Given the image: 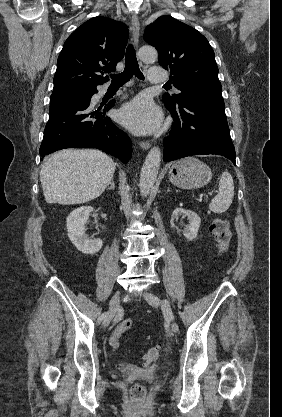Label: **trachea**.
I'll return each instance as SVG.
<instances>
[{
	"label": "trachea",
	"mask_w": 282,
	"mask_h": 417,
	"mask_svg": "<svg viewBox=\"0 0 282 417\" xmlns=\"http://www.w3.org/2000/svg\"><path fill=\"white\" fill-rule=\"evenodd\" d=\"M133 75L138 77L140 80H144V75L141 73L139 65L137 63L135 49L133 45H128L125 56V69L121 73H114L111 75L112 82L110 87H122V85L128 82L133 77ZM164 86L171 85L164 84Z\"/></svg>",
	"instance_id": "obj_1"
}]
</instances>
